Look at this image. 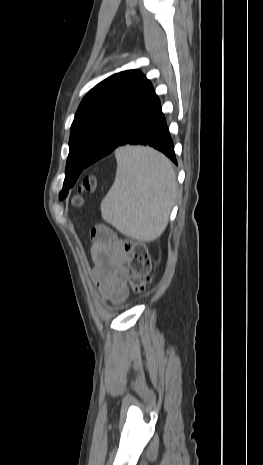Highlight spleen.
Returning <instances> with one entry per match:
<instances>
[{
  "label": "spleen",
  "instance_id": "spleen-1",
  "mask_svg": "<svg viewBox=\"0 0 263 465\" xmlns=\"http://www.w3.org/2000/svg\"><path fill=\"white\" fill-rule=\"evenodd\" d=\"M115 181L101 202L102 218L126 236L157 239L165 230L177 183L171 162L146 147L116 150Z\"/></svg>",
  "mask_w": 263,
  "mask_h": 465
}]
</instances>
